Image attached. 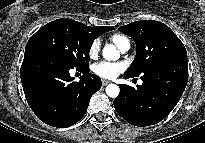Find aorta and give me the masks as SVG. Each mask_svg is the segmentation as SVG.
Listing matches in <instances>:
<instances>
[{
	"mask_svg": "<svg viewBox=\"0 0 205 143\" xmlns=\"http://www.w3.org/2000/svg\"><path fill=\"white\" fill-rule=\"evenodd\" d=\"M103 58L105 60H117L120 56L114 45L108 44L103 48ZM106 94L111 98H116L119 95L120 89L116 84H109L106 87Z\"/></svg>",
	"mask_w": 205,
	"mask_h": 143,
	"instance_id": "aorta-1",
	"label": "aorta"
}]
</instances>
